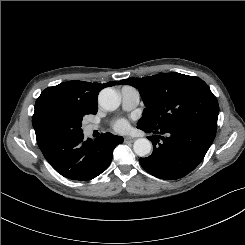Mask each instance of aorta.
Masks as SVG:
<instances>
[{
  "label": "aorta",
  "mask_w": 245,
  "mask_h": 245,
  "mask_svg": "<svg viewBox=\"0 0 245 245\" xmlns=\"http://www.w3.org/2000/svg\"><path fill=\"white\" fill-rule=\"evenodd\" d=\"M98 102L102 108L108 111L116 110L120 105L119 94L112 88H104L98 97ZM134 152L143 157L150 153L151 143L146 138H139L133 144Z\"/></svg>",
  "instance_id": "aorta-1"
}]
</instances>
